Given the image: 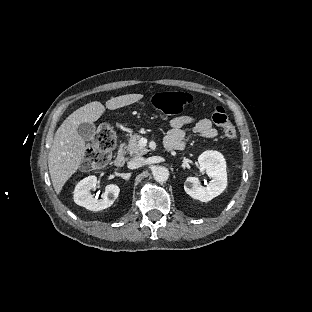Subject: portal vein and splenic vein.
Segmentation results:
<instances>
[{"label": "portal vein and splenic vein", "mask_w": 312, "mask_h": 312, "mask_svg": "<svg viewBox=\"0 0 312 312\" xmlns=\"http://www.w3.org/2000/svg\"><path fill=\"white\" fill-rule=\"evenodd\" d=\"M139 144H140L141 146H146V144H147V139H146V138H141L140 141H139Z\"/></svg>", "instance_id": "portal-vein-and-splenic-vein-1"}]
</instances>
